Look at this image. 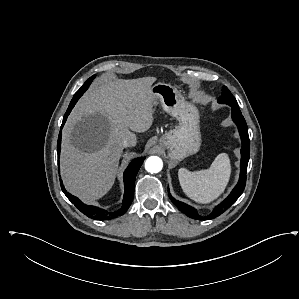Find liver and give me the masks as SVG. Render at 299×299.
<instances>
[{"label":"liver","mask_w":299,"mask_h":299,"mask_svg":"<svg viewBox=\"0 0 299 299\" xmlns=\"http://www.w3.org/2000/svg\"><path fill=\"white\" fill-rule=\"evenodd\" d=\"M155 81L105 80L91 86L73 109L63 131L61 176L66 189L85 203L111 189L130 130L142 133L152 126ZM81 121L85 124L75 130Z\"/></svg>","instance_id":"obj_1"}]
</instances>
